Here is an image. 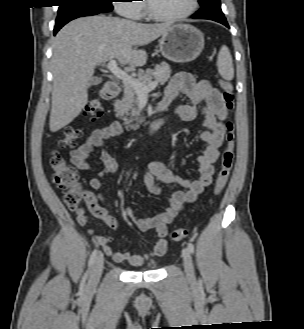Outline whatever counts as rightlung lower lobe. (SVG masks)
I'll return each instance as SVG.
<instances>
[{"mask_svg":"<svg viewBox=\"0 0 304 329\" xmlns=\"http://www.w3.org/2000/svg\"><path fill=\"white\" fill-rule=\"evenodd\" d=\"M100 12H86V13H81V14H78V15H74L64 21H61L60 23L56 24L55 27H54V35L66 24L68 23L69 21L73 20V19H76L78 17H83V16H91V15H96V14H99Z\"/></svg>","mask_w":304,"mask_h":329,"instance_id":"1","label":"right lung lower lobe"}]
</instances>
